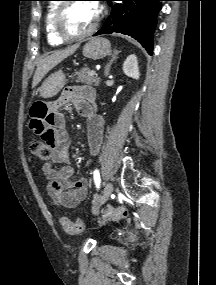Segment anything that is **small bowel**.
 <instances>
[{
    "mask_svg": "<svg viewBox=\"0 0 216 285\" xmlns=\"http://www.w3.org/2000/svg\"><path fill=\"white\" fill-rule=\"evenodd\" d=\"M96 92L89 86H72L64 90L53 104L42 101L31 107V133L54 149L51 161L42 167L48 180L47 193L55 206L73 208L88 194L89 182L85 177L74 179L70 164L71 139L66 130V119L58 108L73 104L87 119V137L92 155H97L103 143L104 121L93 108ZM55 164L61 165L59 168Z\"/></svg>",
    "mask_w": 216,
    "mask_h": 285,
    "instance_id": "1",
    "label": "small bowel"
}]
</instances>
